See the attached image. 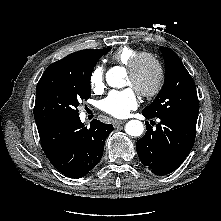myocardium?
<instances>
[{
  "instance_id": "f54148a6",
  "label": "myocardium",
  "mask_w": 221,
  "mask_h": 221,
  "mask_svg": "<svg viewBox=\"0 0 221 221\" xmlns=\"http://www.w3.org/2000/svg\"><path fill=\"white\" fill-rule=\"evenodd\" d=\"M144 60L150 61L155 66L157 78L151 89L137 92L144 98H152L161 91L164 84L165 72L161 60L151 52H139L133 57L130 64L128 65V74L133 76L138 71L140 64Z\"/></svg>"
}]
</instances>
